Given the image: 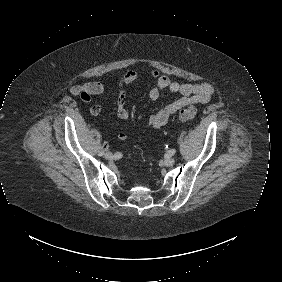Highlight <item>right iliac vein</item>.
<instances>
[{"instance_id": "63e3f726", "label": "right iliac vein", "mask_w": 282, "mask_h": 282, "mask_svg": "<svg viewBox=\"0 0 282 282\" xmlns=\"http://www.w3.org/2000/svg\"><path fill=\"white\" fill-rule=\"evenodd\" d=\"M104 157H105L106 159H111V158H112V154H111L110 152H106V153L104 154Z\"/></svg>"}]
</instances>
